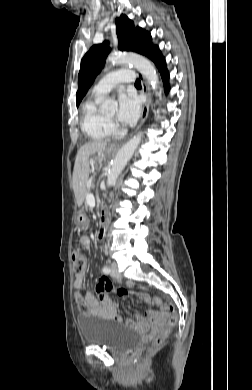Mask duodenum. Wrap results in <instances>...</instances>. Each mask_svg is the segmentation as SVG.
<instances>
[{
    "label": "duodenum",
    "mask_w": 252,
    "mask_h": 390,
    "mask_svg": "<svg viewBox=\"0 0 252 390\" xmlns=\"http://www.w3.org/2000/svg\"><path fill=\"white\" fill-rule=\"evenodd\" d=\"M107 229H108V212L105 209H103L100 212V229L96 236L98 241H102L105 238Z\"/></svg>",
    "instance_id": "1"
}]
</instances>
